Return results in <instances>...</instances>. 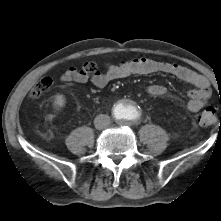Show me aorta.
Segmentation results:
<instances>
[{"label": "aorta", "mask_w": 221, "mask_h": 221, "mask_svg": "<svg viewBox=\"0 0 221 221\" xmlns=\"http://www.w3.org/2000/svg\"><path fill=\"white\" fill-rule=\"evenodd\" d=\"M140 109L138 106L129 100L118 102L113 109V117L119 123H129L138 118Z\"/></svg>", "instance_id": "obj_1"}]
</instances>
